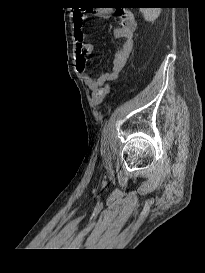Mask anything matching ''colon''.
<instances>
[{
    "mask_svg": "<svg viewBox=\"0 0 205 273\" xmlns=\"http://www.w3.org/2000/svg\"><path fill=\"white\" fill-rule=\"evenodd\" d=\"M109 92V85H105L94 93V101L96 104L102 102L106 94Z\"/></svg>",
    "mask_w": 205,
    "mask_h": 273,
    "instance_id": "1",
    "label": "colon"
}]
</instances>
